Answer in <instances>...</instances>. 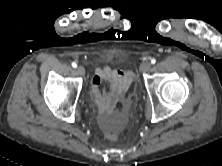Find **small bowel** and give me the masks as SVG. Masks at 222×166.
I'll return each mask as SVG.
<instances>
[{
	"label": "small bowel",
	"instance_id": "c3829d8e",
	"mask_svg": "<svg viewBox=\"0 0 222 166\" xmlns=\"http://www.w3.org/2000/svg\"><path fill=\"white\" fill-rule=\"evenodd\" d=\"M108 82V89L103 88V83ZM133 82L132 72L124 69H112L109 66L98 67L91 80V91L94 102L102 114L101 121L110 127L108 114L112 112L119 101L124 100L125 93Z\"/></svg>",
	"mask_w": 222,
	"mask_h": 166
}]
</instances>
